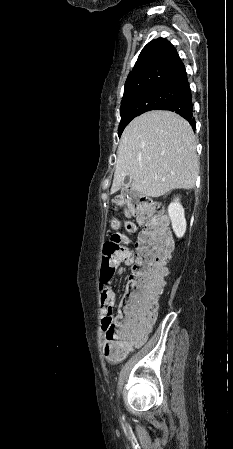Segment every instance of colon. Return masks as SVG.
<instances>
[{"label":"colon","instance_id":"1","mask_svg":"<svg viewBox=\"0 0 233 449\" xmlns=\"http://www.w3.org/2000/svg\"><path fill=\"white\" fill-rule=\"evenodd\" d=\"M119 204L126 212L136 214L142 226L136 251V263L130 275L129 286L124 293L120 314L110 309L103 319L105 330V356L112 361L123 357L135 340L137 324L156 317L158 298L164 287L165 265L172 251V240L167 228L163 205L137 193H126ZM131 224L115 219L114 234L104 244L101 280L112 273L122 257L129 255L124 247L126 237L122 230ZM102 283V282H101ZM115 343H117L115 345Z\"/></svg>","mask_w":233,"mask_h":449}]
</instances>
